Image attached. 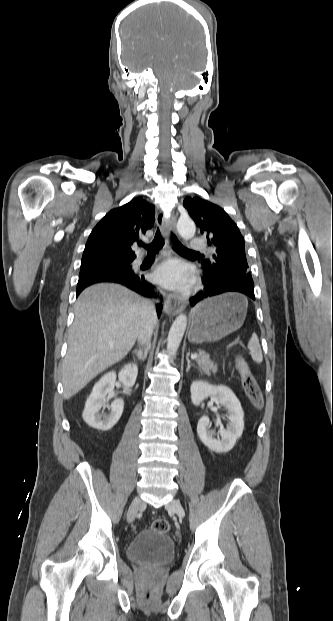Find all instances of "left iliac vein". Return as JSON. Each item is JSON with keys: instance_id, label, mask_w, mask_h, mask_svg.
Wrapping results in <instances>:
<instances>
[{"instance_id": "1", "label": "left iliac vein", "mask_w": 333, "mask_h": 621, "mask_svg": "<svg viewBox=\"0 0 333 621\" xmlns=\"http://www.w3.org/2000/svg\"><path fill=\"white\" fill-rule=\"evenodd\" d=\"M166 508L168 510L174 511L179 516L180 519H182L184 517V515H185L184 509H183L181 503L178 500H176V499L171 500L166 505Z\"/></svg>"}]
</instances>
